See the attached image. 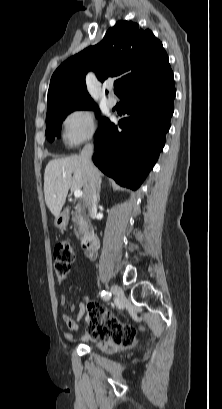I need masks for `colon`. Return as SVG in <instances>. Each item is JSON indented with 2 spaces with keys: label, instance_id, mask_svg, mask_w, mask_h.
Returning a JSON list of instances; mask_svg holds the SVG:
<instances>
[{
  "label": "colon",
  "instance_id": "obj_1",
  "mask_svg": "<svg viewBox=\"0 0 222 409\" xmlns=\"http://www.w3.org/2000/svg\"><path fill=\"white\" fill-rule=\"evenodd\" d=\"M74 260V252L67 241L58 243L53 254V269L59 281H63ZM88 330L97 340L111 339L118 344H128L133 341L135 330L129 325L111 318L109 312L99 304L88 306Z\"/></svg>",
  "mask_w": 222,
  "mask_h": 409
}]
</instances>
